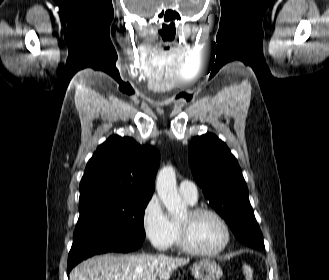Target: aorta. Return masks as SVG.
Segmentation results:
<instances>
[{"mask_svg": "<svg viewBox=\"0 0 329 280\" xmlns=\"http://www.w3.org/2000/svg\"><path fill=\"white\" fill-rule=\"evenodd\" d=\"M156 190L169 214L182 216L186 213V205L177 190L176 174L173 167L166 166L159 171L156 179Z\"/></svg>", "mask_w": 329, "mask_h": 280, "instance_id": "1", "label": "aorta"}]
</instances>
